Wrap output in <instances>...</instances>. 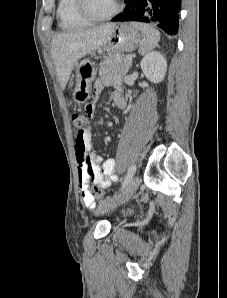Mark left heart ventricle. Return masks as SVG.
Wrapping results in <instances>:
<instances>
[{
    "label": "left heart ventricle",
    "instance_id": "b2bd125f",
    "mask_svg": "<svg viewBox=\"0 0 227 298\" xmlns=\"http://www.w3.org/2000/svg\"><path fill=\"white\" fill-rule=\"evenodd\" d=\"M117 0H88L90 11L97 16L110 13L116 6Z\"/></svg>",
    "mask_w": 227,
    "mask_h": 298
}]
</instances>
